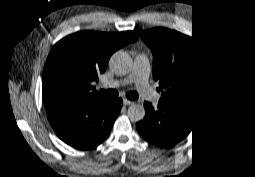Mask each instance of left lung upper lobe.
Masks as SVG:
<instances>
[{
  "mask_svg": "<svg viewBox=\"0 0 255 177\" xmlns=\"http://www.w3.org/2000/svg\"><path fill=\"white\" fill-rule=\"evenodd\" d=\"M153 52V78L165 88L161 100L199 107L206 93L204 57L190 37L166 28L141 31Z\"/></svg>",
  "mask_w": 255,
  "mask_h": 177,
  "instance_id": "1",
  "label": "left lung upper lobe"
}]
</instances>
